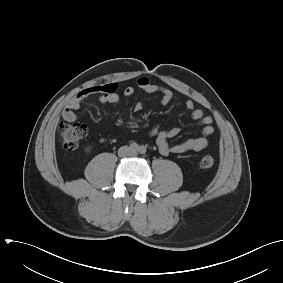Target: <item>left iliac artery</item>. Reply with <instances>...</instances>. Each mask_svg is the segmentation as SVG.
I'll list each match as a JSON object with an SVG mask.
<instances>
[{
    "label": "left iliac artery",
    "instance_id": "obj_1",
    "mask_svg": "<svg viewBox=\"0 0 283 283\" xmlns=\"http://www.w3.org/2000/svg\"><path fill=\"white\" fill-rule=\"evenodd\" d=\"M138 151H139L140 154H145L146 151H147V149H146L145 146H140L139 149H138Z\"/></svg>",
    "mask_w": 283,
    "mask_h": 283
}]
</instances>
